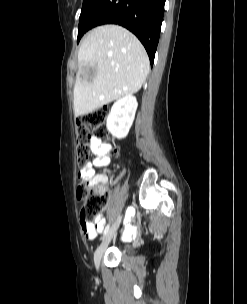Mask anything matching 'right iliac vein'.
<instances>
[{
    "label": "right iliac vein",
    "instance_id": "obj_1",
    "mask_svg": "<svg viewBox=\"0 0 247 304\" xmlns=\"http://www.w3.org/2000/svg\"><path fill=\"white\" fill-rule=\"evenodd\" d=\"M121 222V216H118L116 220L113 222L112 226L108 230L107 234L104 236L101 244L97 248L95 254H94V261L97 267H99L102 256L108 247L109 243L111 242L112 238L115 236L117 229Z\"/></svg>",
    "mask_w": 247,
    "mask_h": 304
}]
</instances>
